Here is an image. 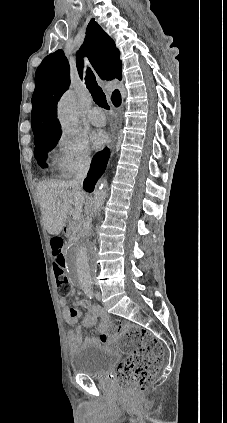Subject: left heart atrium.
Wrapping results in <instances>:
<instances>
[{
	"label": "left heart atrium",
	"mask_w": 227,
	"mask_h": 423,
	"mask_svg": "<svg viewBox=\"0 0 227 423\" xmlns=\"http://www.w3.org/2000/svg\"><path fill=\"white\" fill-rule=\"evenodd\" d=\"M108 137L104 131L96 130L91 135V143L95 150H99L107 143Z\"/></svg>",
	"instance_id": "obj_1"
}]
</instances>
